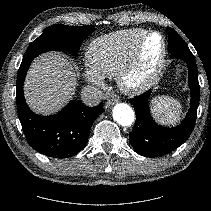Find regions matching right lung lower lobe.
<instances>
[{
  "mask_svg": "<svg viewBox=\"0 0 211 211\" xmlns=\"http://www.w3.org/2000/svg\"><path fill=\"white\" fill-rule=\"evenodd\" d=\"M32 60L22 61L17 75L16 103L18 116L29 145L53 158H68L82 150L88 141L94 119L103 112V103L87 107L72 100L52 116L33 113L23 94V83Z\"/></svg>",
  "mask_w": 211,
  "mask_h": 211,
  "instance_id": "right-lung-lower-lobe-1",
  "label": "right lung lower lobe"
}]
</instances>
